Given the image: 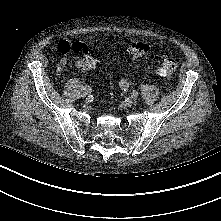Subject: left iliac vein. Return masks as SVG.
Segmentation results:
<instances>
[{"mask_svg": "<svg viewBox=\"0 0 221 221\" xmlns=\"http://www.w3.org/2000/svg\"><path fill=\"white\" fill-rule=\"evenodd\" d=\"M139 96V93L137 91H132L130 93V98L133 99V100H136Z\"/></svg>", "mask_w": 221, "mask_h": 221, "instance_id": "left-iliac-vein-1", "label": "left iliac vein"}]
</instances>
